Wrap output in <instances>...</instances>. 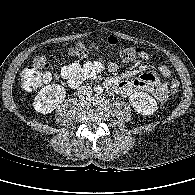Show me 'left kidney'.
<instances>
[{"mask_svg": "<svg viewBox=\"0 0 195 195\" xmlns=\"http://www.w3.org/2000/svg\"><path fill=\"white\" fill-rule=\"evenodd\" d=\"M130 105L136 112L151 115L158 109L156 100L145 92H135L129 97Z\"/></svg>", "mask_w": 195, "mask_h": 195, "instance_id": "1", "label": "left kidney"}]
</instances>
